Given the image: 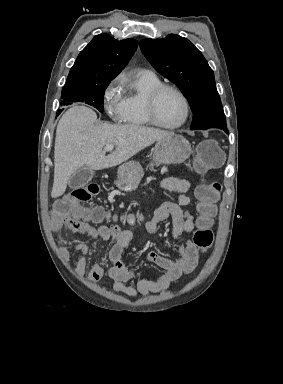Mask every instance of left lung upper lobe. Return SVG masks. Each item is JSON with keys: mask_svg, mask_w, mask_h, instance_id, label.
Here are the masks:
<instances>
[{"mask_svg": "<svg viewBox=\"0 0 283 384\" xmlns=\"http://www.w3.org/2000/svg\"><path fill=\"white\" fill-rule=\"evenodd\" d=\"M140 47L151 65L188 99L193 112L192 130L226 126L213 70L188 39L169 34L163 39H143Z\"/></svg>", "mask_w": 283, "mask_h": 384, "instance_id": "left-lung-upper-lobe-1", "label": "left lung upper lobe"}]
</instances>
